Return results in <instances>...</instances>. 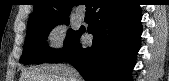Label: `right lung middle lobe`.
<instances>
[{"label": "right lung middle lobe", "instance_id": "right-lung-middle-lobe-1", "mask_svg": "<svg viewBox=\"0 0 169 81\" xmlns=\"http://www.w3.org/2000/svg\"><path fill=\"white\" fill-rule=\"evenodd\" d=\"M68 21V17L64 16L29 24L20 63L42 64L47 62L54 54L59 51L51 49L47 45L45 40L47 39L49 32L56 25L68 23ZM76 34V31L69 29L63 46L70 42Z\"/></svg>", "mask_w": 169, "mask_h": 81}]
</instances>
